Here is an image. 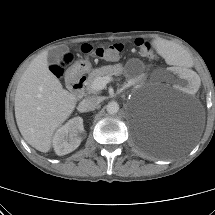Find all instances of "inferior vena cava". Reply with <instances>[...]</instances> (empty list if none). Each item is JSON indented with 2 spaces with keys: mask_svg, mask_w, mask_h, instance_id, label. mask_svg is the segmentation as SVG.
<instances>
[{
  "mask_svg": "<svg viewBox=\"0 0 215 215\" xmlns=\"http://www.w3.org/2000/svg\"><path fill=\"white\" fill-rule=\"evenodd\" d=\"M99 103L100 99L98 97H87L80 102L79 109L82 112L92 111L97 107Z\"/></svg>",
  "mask_w": 215,
  "mask_h": 215,
  "instance_id": "602c4592",
  "label": "inferior vena cava"
}]
</instances>
